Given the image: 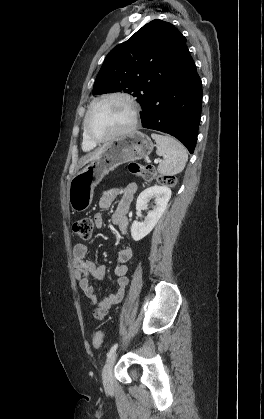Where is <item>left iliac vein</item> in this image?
Masks as SVG:
<instances>
[{
  "instance_id": "1",
  "label": "left iliac vein",
  "mask_w": 264,
  "mask_h": 419,
  "mask_svg": "<svg viewBox=\"0 0 264 419\" xmlns=\"http://www.w3.org/2000/svg\"><path fill=\"white\" fill-rule=\"evenodd\" d=\"M116 353H113L107 360L103 369V384L106 390H110L113 387V365L116 360Z\"/></svg>"
}]
</instances>
